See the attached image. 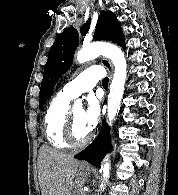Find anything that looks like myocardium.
<instances>
[{
	"label": "myocardium",
	"mask_w": 178,
	"mask_h": 195,
	"mask_svg": "<svg viewBox=\"0 0 178 195\" xmlns=\"http://www.w3.org/2000/svg\"><path fill=\"white\" fill-rule=\"evenodd\" d=\"M63 137H64L65 141L69 144V146L73 147V148H81V147L86 146L91 141V138H92L91 135H88L82 141H77L75 139L73 112L71 110L68 111L67 116H66Z\"/></svg>",
	"instance_id": "obj_1"
}]
</instances>
